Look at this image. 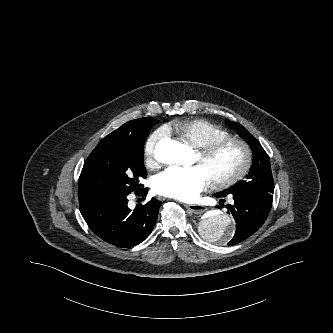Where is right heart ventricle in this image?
<instances>
[{
    "label": "right heart ventricle",
    "instance_id": "1",
    "mask_svg": "<svg viewBox=\"0 0 333 333\" xmlns=\"http://www.w3.org/2000/svg\"><path fill=\"white\" fill-rule=\"evenodd\" d=\"M167 128L178 140L197 148L230 135L223 127L203 119H176Z\"/></svg>",
    "mask_w": 333,
    "mask_h": 333
}]
</instances>
